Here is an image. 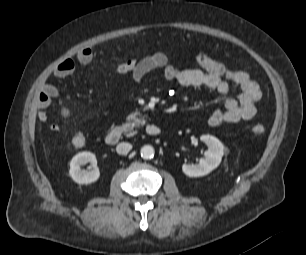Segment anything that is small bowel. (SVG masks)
<instances>
[{"label": "small bowel", "instance_id": "small-bowel-1", "mask_svg": "<svg viewBox=\"0 0 306 255\" xmlns=\"http://www.w3.org/2000/svg\"><path fill=\"white\" fill-rule=\"evenodd\" d=\"M92 59L93 52L89 48L81 49L76 54V60L82 64H87ZM130 61L132 65L128 73L137 83L144 81L150 73L162 70V76L168 82H175L182 87H205L221 94L224 97L222 107L215 109L208 118V124L212 127L248 121L256 115V106L262 96L259 84L247 72L230 69L204 52H200L196 56L199 68L175 67L170 64L168 56L161 51L154 52L140 60L132 59ZM74 68V60L68 58L55 68L52 75L56 78H63L70 75ZM231 85L240 89V94L237 97L231 96ZM57 95L58 89L54 84L49 81L41 84L37 97L40 121L47 120L46 110ZM60 115L67 119L71 112L69 108L62 107ZM49 128L53 132L60 131V126L57 124H51Z\"/></svg>", "mask_w": 306, "mask_h": 255}]
</instances>
